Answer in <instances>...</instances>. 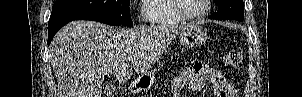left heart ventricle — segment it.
<instances>
[{"label": "left heart ventricle", "mask_w": 302, "mask_h": 97, "mask_svg": "<svg viewBox=\"0 0 302 97\" xmlns=\"http://www.w3.org/2000/svg\"><path fill=\"white\" fill-rule=\"evenodd\" d=\"M178 4L187 15H195L204 9V0H179Z\"/></svg>", "instance_id": "obj_1"}]
</instances>
